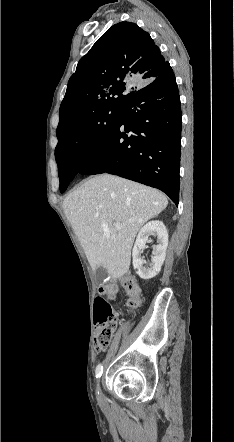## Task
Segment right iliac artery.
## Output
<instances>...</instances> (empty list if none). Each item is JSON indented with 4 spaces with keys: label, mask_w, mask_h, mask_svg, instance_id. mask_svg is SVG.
<instances>
[{
    "label": "right iliac artery",
    "mask_w": 234,
    "mask_h": 442,
    "mask_svg": "<svg viewBox=\"0 0 234 442\" xmlns=\"http://www.w3.org/2000/svg\"><path fill=\"white\" fill-rule=\"evenodd\" d=\"M102 372H103V366H102V364H98V366L96 367V371H95L97 379H99L101 377Z\"/></svg>",
    "instance_id": "obj_1"
}]
</instances>
